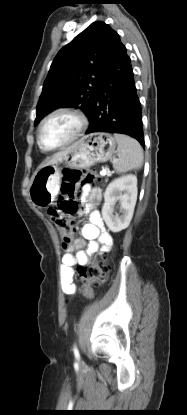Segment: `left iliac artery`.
Wrapping results in <instances>:
<instances>
[{
	"mask_svg": "<svg viewBox=\"0 0 187 415\" xmlns=\"http://www.w3.org/2000/svg\"><path fill=\"white\" fill-rule=\"evenodd\" d=\"M73 350H74L75 355L79 354V352H78V349H77V346H76V345L74 346Z\"/></svg>",
	"mask_w": 187,
	"mask_h": 415,
	"instance_id": "left-iliac-artery-1",
	"label": "left iliac artery"
}]
</instances>
